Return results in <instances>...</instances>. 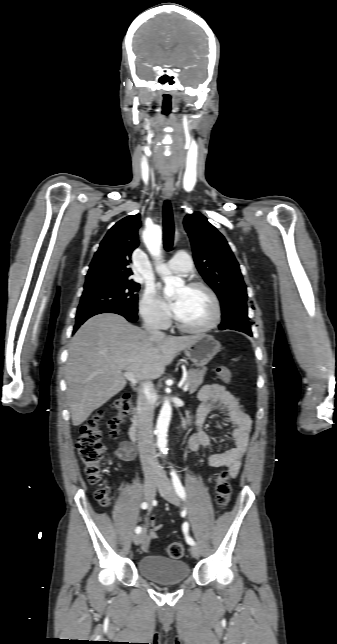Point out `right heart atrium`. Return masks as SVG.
<instances>
[{
    "label": "right heart atrium",
    "mask_w": 337,
    "mask_h": 644,
    "mask_svg": "<svg viewBox=\"0 0 337 644\" xmlns=\"http://www.w3.org/2000/svg\"><path fill=\"white\" fill-rule=\"evenodd\" d=\"M140 313L148 324L155 327H164L168 323V314L165 307L152 286H148L142 295Z\"/></svg>",
    "instance_id": "1"
}]
</instances>
